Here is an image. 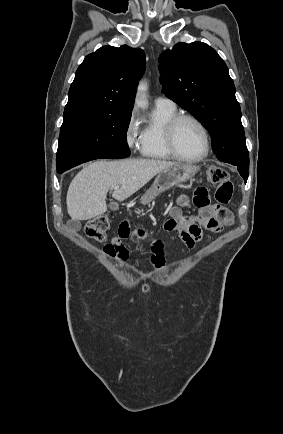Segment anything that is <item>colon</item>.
Here are the masks:
<instances>
[{
    "label": "colon",
    "instance_id": "colon-1",
    "mask_svg": "<svg viewBox=\"0 0 283 434\" xmlns=\"http://www.w3.org/2000/svg\"><path fill=\"white\" fill-rule=\"evenodd\" d=\"M208 180L216 186L215 200L219 205H226L231 201L234 186L230 179L229 173L222 167L212 166L207 172ZM110 226V220L107 215L97 216L86 225L88 237L97 241H104L106 232Z\"/></svg>",
    "mask_w": 283,
    "mask_h": 434
}]
</instances>
